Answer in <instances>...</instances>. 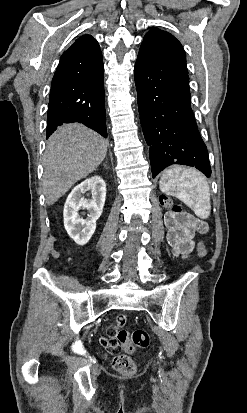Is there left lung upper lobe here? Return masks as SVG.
Here are the masks:
<instances>
[{"instance_id": "obj_1", "label": "left lung upper lobe", "mask_w": 247, "mask_h": 413, "mask_svg": "<svg viewBox=\"0 0 247 413\" xmlns=\"http://www.w3.org/2000/svg\"><path fill=\"white\" fill-rule=\"evenodd\" d=\"M140 49L152 52L187 71L186 54L180 42L160 29L146 33Z\"/></svg>"}]
</instances>
